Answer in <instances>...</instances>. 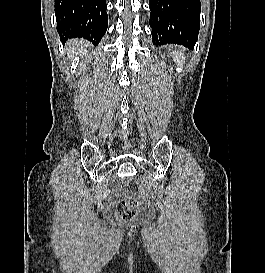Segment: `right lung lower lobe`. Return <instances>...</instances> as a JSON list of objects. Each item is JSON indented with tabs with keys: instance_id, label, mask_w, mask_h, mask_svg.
<instances>
[{
	"instance_id": "98d812e1",
	"label": "right lung lower lobe",
	"mask_w": 265,
	"mask_h": 273,
	"mask_svg": "<svg viewBox=\"0 0 265 273\" xmlns=\"http://www.w3.org/2000/svg\"><path fill=\"white\" fill-rule=\"evenodd\" d=\"M55 13L63 43L71 38H84L97 45L106 33V0H56Z\"/></svg>"
}]
</instances>
